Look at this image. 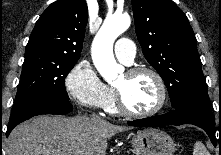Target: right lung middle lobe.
I'll use <instances>...</instances> for the list:
<instances>
[{
  "instance_id": "right-lung-middle-lobe-1",
  "label": "right lung middle lobe",
  "mask_w": 221,
  "mask_h": 155,
  "mask_svg": "<svg viewBox=\"0 0 221 155\" xmlns=\"http://www.w3.org/2000/svg\"><path fill=\"white\" fill-rule=\"evenodd\" d=\"M76 62L51 57L25 58L12 114L38 97L69 100L64 81Z\"/></svg>"
}]
</instances>
